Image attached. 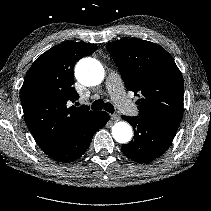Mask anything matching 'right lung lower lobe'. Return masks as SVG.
<instances>
[{
    "instance_id": "right-lung-lower-lobe-1",
    "label": "right lung lower lobe",
    "mask_w": 211,
    "mask_h": 211,
    "mask_svg": "<svg viewBox=\"0 0 211 211\" xmlns=\"http://www.w3.org/2000/svg\"><path fill=\"white\" fill-rule=\"evenodd\" d=\"M108 120V113L97 111L88 119L81 122L58 149L47 155L62 163H68L76 160L86 152L92 141L94 133L98 129L104 127Z\"/></svg>"
}]
</instances>
